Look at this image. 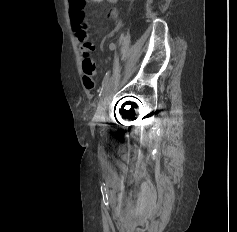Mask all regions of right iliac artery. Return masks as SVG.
<instances>
[{
	"instance_id": "1",
	"label": "right iliac artery",
	"mask_w": 237,
	"mask_h": 232,
	"mask_svg": "<svg viewBox=\"0 0 237 232\" xmlns=\"http://www.w3.org/2000/svg\"><path fill=\"white\" fill-rule=\"evenodd\" d=\"M109 48H110L111 51H113L116 48V44L115 43H111L109 45ZM109 76H110V72L106 73V75H105V77L103 79L101 88H100L101 92L105 89V87H106V85L108 83Z\"/></svg>"
}]
</instances>
